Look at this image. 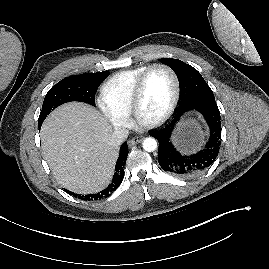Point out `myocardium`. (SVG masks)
<instances>
[{
  "label": "myocardium",
  "mask_w": 269,
  "mask_h": 269,
  "mask_svg": "<svg viewBox=\"0 0 269 269\" xmlns=\"http://www.w3.org/2000/svg\"><path fill=\"white\" fill-rule=\"evenodd\" d=\"M155 69H164L170 73L174 82V94L168 108L165 110V112L162 115H160L159 117L153 120H145L142 118L141 113H140L141 101H142V96H143L147 77ZM180 94H181L180 79L173 68H171L169 65L162 64V63L150 65L140 75V77L138 78L135 84L133 94H132V99H131V114L134 117L135 121L142 127L154 128V127L160 126L163 123H165L174 113L180 99Z\"/></svg>",
  "instance_id": "1"
}]
</instances>
